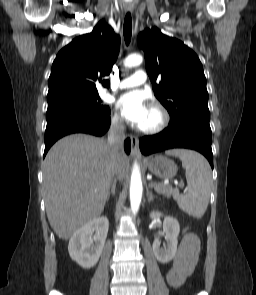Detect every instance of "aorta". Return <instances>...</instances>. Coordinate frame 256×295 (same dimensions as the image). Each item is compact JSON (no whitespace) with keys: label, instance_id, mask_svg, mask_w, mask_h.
<instances>
[{"label":"aorta","instance_id":"aorta-1","mask_svg":"<svg viewBox=\"0 0 256 295\" xmlns=\"http://www.w3.org/2000/svg\"><path fill=\"white\" fill-rule=\"evenodd\" d=\"M143 58L139 54L129 55L124 60V66L127 68L138 66L142 63ZM142 180L140 167L137 162L134 163L131 180H130V204L131 210L134 214H136L139 210L141 199H142Z\"/></svg>","mask_w":256,"mask_h":295}]
</instances>
